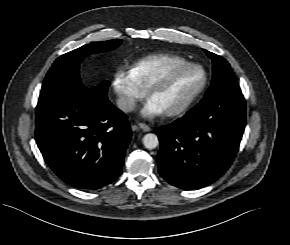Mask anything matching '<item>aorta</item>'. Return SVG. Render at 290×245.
<instances>
[{
    "instance_id": "obj_1",
    "label": "aorta",
    "mask_w": 290,
    "mask_h": 245,
    "mask_svg": "<svg viewBox=\"0 0 290 245\" xmlns=\"http://www.w3.org/2000/svg\"><path fill=\"white\" fill-rule=\"evenodd\" d=\"M143 145L147 149H154L159 145V140L156 134L148 133L142 139Z\"/></svg>"
}]
</instances>
